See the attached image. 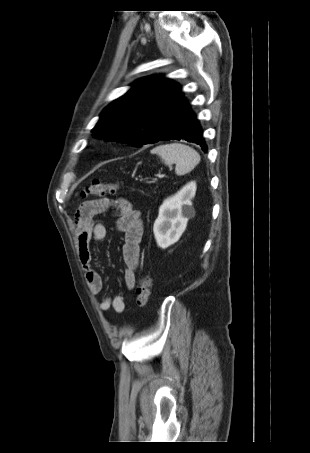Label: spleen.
<instances>
[{
  "mask_svg": "<svg viewBox=\"0 0 310 453\" xmlns=\"http://www.w3.org/2000/svg\"><path fill=\"white\" fill-rule=\"evenodd\" d=\"M151 153L157 154L165 165L170 166L175 164V172L177 175L189 173L201 160V157L196 150L181 143L160 145L152 149Z\"/></svg>",
  "mask_w": 310,
  "mask_h": 453,
  "instance_id": "obj_1",
  "label": "spleen"
}]
</instances>
